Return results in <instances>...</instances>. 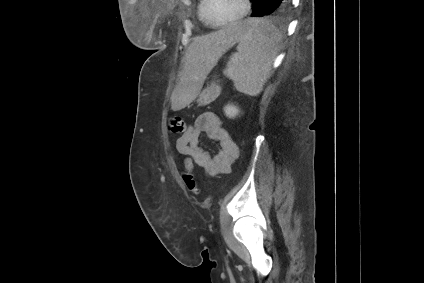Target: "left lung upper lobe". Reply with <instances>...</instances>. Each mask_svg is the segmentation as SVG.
I'll use <instances>...</instances> for the list:
<instances>
[{
    "label": "left lung upper lobe",
    "mask_w": 424,
    "mask_h": 283,
    "mask_svg": "<svg viewBox=\"0 0 424 283\" xmlns=\"http://www.w3.org/2000/svg\"><path fill=\"white\" fill-rule=\"evenodd\" d=\"M252 1V8H254V6H255V3H256V1L257 0H251ZM283 12V10H279V11H277L275 14H279V13H282Z\"/></svg>",
    "instance_id": "obj_1"
}]
</instances>
